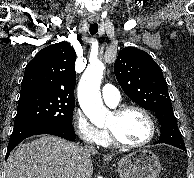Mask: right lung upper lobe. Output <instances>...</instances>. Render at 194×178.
<instances>
[{"mask_svg": "<svg viewBox=\"0 0 194 178\" xmlns=\"http://www.w3.org/2000/svg\"><path fill=\"white\" fill-rule=\"evenodd\" d=\"M75 50L60 42L40 50L27 64L19 100L33 97L74 99Z\"/></svg>", "mask_w": 194, "mask_h": 178, "instance_id": "obj_1", "label": "right lung upper lobe"}]
</instances>
